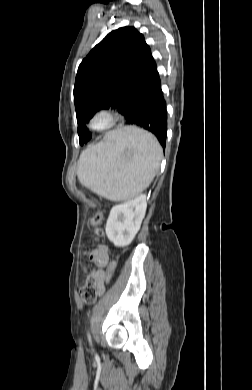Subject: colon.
I'll use <instances>...</instances> for the list:
<instances>
[{"label":"colon","mask_w":252,"mask_h":390,"mask_svg":"<svg viewBox=\"0 0 252 390\" xmlns=\"http://www.w3.org/2000/svg\"><path fill=\"white\" fill-rule=\"evenodd\" d=\"M93 223L95 225L100 224L102 221V214L97 213L92 219ZM96 233L97 234H102V230L100 228H96ZM110 271L113 270V265L110 266L109 268ZM81 298L85 304H92L95 302L97 298V283L96 279L93 274H89L85 284L82 286L80 290Z\"/></svg>","instance_id":"colon-1"}]
</instances>
